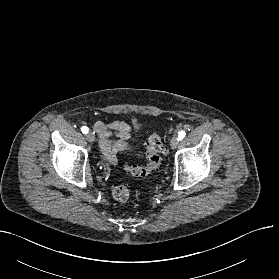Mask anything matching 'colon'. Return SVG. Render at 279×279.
Segmentation results:
<instances>
[{"mask_svg": "<svg viewBox=\"0 0 279 279\" xmlns=\"http://www.w3.org/2000/svg\"><path fill=\"white\" fill-rule=\"evenodd\" d=\"M164 149L163 140L159 134L153 133L146 143V158L147 164L145 166L131 165L124 163V169L130 174L137 177H144L153 170L157 169L160 165V154ZM113 197L119 202H126L129 200L131 193L130 190L124 186L119 185L113 188Z\"/></svg>", "mask_w": 279, "mask_h": 279, "instance_id": "1", "label": "colon"}]
</instances>
